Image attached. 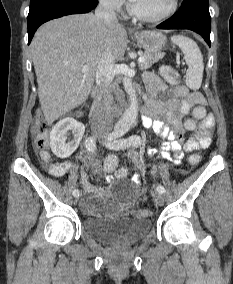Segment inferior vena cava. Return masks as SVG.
<instances>
[{"instance_id": "inferior-vena-cava-1", "label": "inferior vena cava", "mask_w": 233, "mask_h": 284, "mask_svg": "<svg viewBox=\"0 0 233 284\" xmlns=\"http://www.w3.org/2000/svg\"><path fill=\"white\" fill-rule=\"evenodd\" d=\"M95 16L103 19L106 24H118L112 0H100ZM114 77V59L109 51L101 58L96 72L98 101L93 111L92 126L95 131L109 133L113 128L112 105L113 96L111 82Z\"/></svg>"}]
</instances>
